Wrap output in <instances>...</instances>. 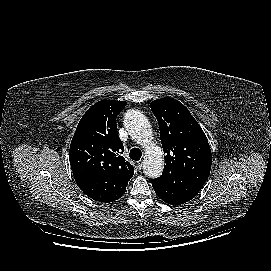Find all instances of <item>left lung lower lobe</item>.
I'll return each mask as SVG.
<instances>
[{"label":"left lung lower lobe","mask_w":271,"mask_h":271,"mask_svg":"<svg viewBox=\"0 0 271 271\" xmlns=\"http://www.w3.org/2000/svg\"><path fill=\"white\" fill-rule=\"evenodd\" d=\"M154 191L164 202L171 205H180L194 198L202 186L191 182L177 172L163 175L152 181Z\"/></svg>","instance_id":"obj_1"}]
</instances>
